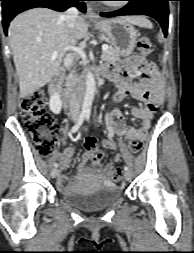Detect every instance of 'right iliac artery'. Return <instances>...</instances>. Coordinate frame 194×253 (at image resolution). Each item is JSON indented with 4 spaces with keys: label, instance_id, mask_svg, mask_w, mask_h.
Wrapping results in <instances>:
<instances>
[{
    "label": "right iliac artery",
    "instance_id": "obj_1",
    "mask_svg": "<svg viewBox=\"0 0 194 253\" xmlns=\"http://www.w3.org/2000/svg\"><path fill=\"white\" fill-rule=\"evenodd\" d=\"M88 115V112L86 111H83L80 116H79V119H78V122L71 128V132L72 133H75L78 131V129L80 128V126L82 125V123L84 122L85 118L87 117ZM59 166L58 163H55L54 164V167L57 168Z\"/></svg>",
    "mask_w": 194,
    "mask_h": 253
}]
</instances>
